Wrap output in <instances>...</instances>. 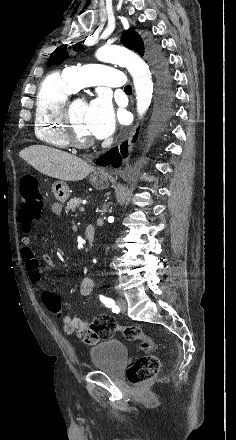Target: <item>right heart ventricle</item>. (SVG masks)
I'll return each instance as SVG.
<instances>
[{
  "instance_id": "e07e8e85",
  "label": "right heart ventricle",
  "mask_w": 236,
  "mask_h": 440,
  "mask_svg": "<svg viewBox=\"0 0 236 440\" xmlns=\"http://www.w3.org/2000/svg\"><path fill=\"white\" fill-rule=\"evenodd\" d=\"M75 92L64 74L52 73L40 84L34 113V131L43 143L57 149H66L69 144L63 134L60 112L64 102Z\"/></svg>"
}]
</instances>
